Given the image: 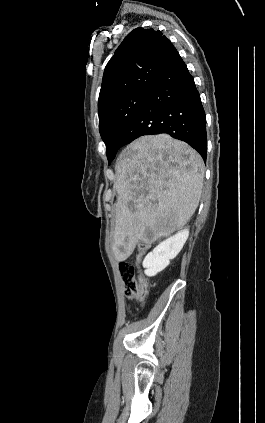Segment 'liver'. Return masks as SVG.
<instances>
[{"label":"liver","mask_w":265,"mask_h":423,"mask_svg":"<svg viewBox=\"0 0 265 423\" xmlns=\"http://www.w3.org/2000/svg\"><path fill=\"white\" fill-rule=\"evenodd\" d=\"M112 251L125 261L139 241L151 243L181 230L198 207L204 179L201 156L167 134L129 144L116 161Z\"/></svg>","instance_id":"liver-1"}]
</instances>
